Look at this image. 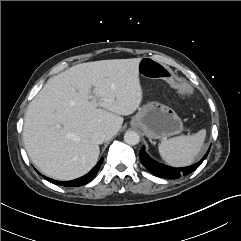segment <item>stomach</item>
I'll list each match as a JSON object with an SVG mask.
<instances>
[{"mask_svg":"<svg viewBox=\"0 0 241 241\" xmlns=\"http://www.w3.org/2000/svg\"><path fill=\"white\" fill-rule=\"evenodd\" d=\"M131 126L141 129L149 139L164 140L183 131V123L177 113L155 101L139 108Z\"/></svg>","mask_w":241,"mask_h":241,"instance_id":"obj_1","label":"stomach"}]
</instances>
